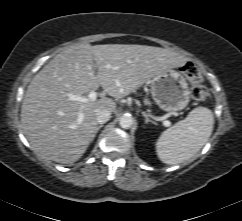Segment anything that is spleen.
<instances>
[{
	"label": "spleen",
	"mask_w": 242,
	"mask_h": 221,
	"mask_svg": "<svg viewBox=\"0 0 242 221\" xmlns=\"http://www.w3.org/2000/svg\"><path fill=\"white\" fill-rule=\"evenodd\" d=\"M214 116L205 107L193 109L188 116L165 130L156 142L158 158L175 165L192 158L208 141L213 131Z\"/></svg>",
	"instance_id": "3e777b00"
}]
</instances>
